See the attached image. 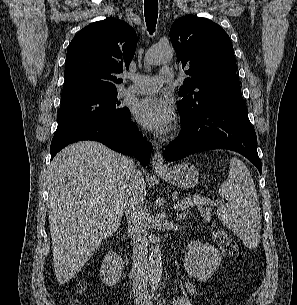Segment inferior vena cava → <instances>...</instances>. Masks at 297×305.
I'll use <instances>...</instances> for the list:
<instances>
[{"mask_svg": "<svg viewBox=\"0 0 297 305\" xmlns=\"http://www.w3.org/2000/svg\"><path fill=\"white\" fill-rule=\"evenodd\" d=\"M126 167L128 183L124 194V209L128 222V232L133 241V293L138 305H147L150 301L147 289L149 275L147 263L149 213L144 206V197L139 188L142 174L135 168L132 160L127 162Z\"/></svg>", "mask_w": 297, "mask_h": 305, "instance_id": "inferior-vena-cava-1", "label": "inferior vena cava"}]
</instances>
